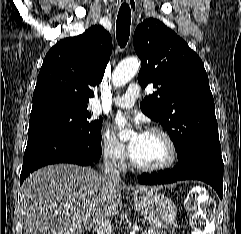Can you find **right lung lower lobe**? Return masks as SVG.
Segmentation results:
<instances>
[{
  "instance_id": "1",
  "label": "right lung lower lobe",
  "mask_w": 241,
  "mask_h": 234,
  "mask_svg": "<svg viewBox=\"0 0 241 234\" xmlns=\"http://www.w3.org/2000/svg\"><path fill=\"white\" fill-rule=\"evenodd\" d=\"M101 139L89 144L68 134L51 132L28 137L20 184L36 169L55 163L92 165L101 157Z\"/></svg>"
}]
</instances>
